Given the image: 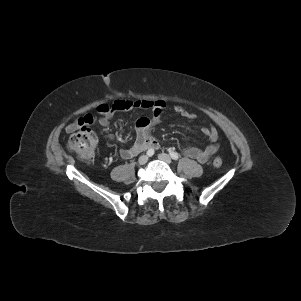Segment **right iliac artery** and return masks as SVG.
<instances>
[{"label":"right iliac artery","instance_id":"82829eb1","mask_svg":"<svg viewBox=\"0 0 301 301\" xmlns=\"http://www.w3.org/2000/svg\"><path fill=\"white\" fill-rule=\"evenodd\" d=\"M154 154V150L153 149H149L148 151H147V155L148 156H152Z\"/></svg>","mask_w":301,"mask_h":301}]
</instances>
